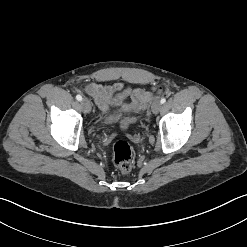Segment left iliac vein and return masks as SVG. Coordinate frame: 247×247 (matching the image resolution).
Returning a JSON list of instances; mask_svg holds the SVG:
<instances>
[{
  "instance_id": "4c4485c4",
  "label": "left iliac vein",
  "mask_w": 247,
  "mask_h": 247,
  "mask_svg": "<svg viewBox=\"0 0 247 247\" xmlns=\"http://www.w3.org/2000/svg\"><path fill=\"white\" fill-rule=\"evenodd\" d=\"M162 107V103L158 100H155L151 106L153 113H158Z\"/></svg>"
}]
</instances>
